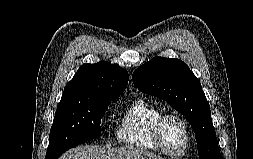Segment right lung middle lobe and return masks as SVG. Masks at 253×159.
Instances as JSON below:
<instances>
[{
	"mask_svg": "<svg viewBox=\"0 0 253 159\" xmlns=\"http://www.w3.org/2000/svg\"><path fill=\"white\" fill-rule=\"evenodd\" d=\"M113 99L116 97L61 100L50 130L46 159H58L66 150L97 138L101 118Z\"/></svg>",
	"mask_w": 253,
	"mask_h": 159,
	"instance_id": "1",
	"label": "right lung middle lobe"
}]
</instances>
